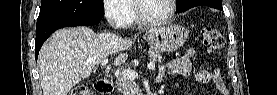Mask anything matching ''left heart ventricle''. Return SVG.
Listing matches in <instances>:
<instances>
[{
    "label": "left heart ventricle",
    "mask_w": 277,
    "mask_h": 95,
    "mask_svg": "<svg viewBox=\"0 0 277 95\" xmlns=\"http://www.w3.org/2000/svg\"><path fill=\"white\" fill-rule=\"evenodd\" d=\"M167 0H144L141 3V13L149 19H162L169 13Z\"/></svg>",
    "instance_id": "1"
}]
</instances>
